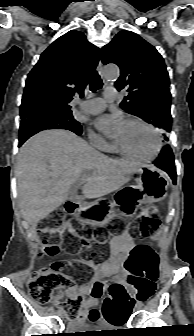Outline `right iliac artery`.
<instances>
[{"label": "right iliac artery", "instance_id": "right-iliac-artery-1", "mask_svg": "<svg viewBox=\"0 0 194 336\" xmlns=\"http://www.w3.org/2000/svg\"><path fill=\"white\" fill-rule=\"evenodd\" d=\"M59 310H62V308H61V307H59ZM59 310H58V311H59Z\"/></svg>", "mask_w": 194, "mask_h": 336}]
</instances>
